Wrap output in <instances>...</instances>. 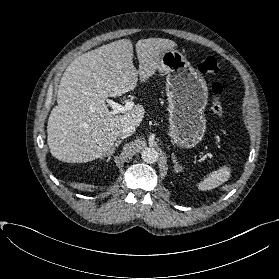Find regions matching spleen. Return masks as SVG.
Returning <instances> with one entry per match:
<instances>
[{"label":"spleen","mask_w":279,"mask_h":279,"mask_svg":"<svg viewBox=\"0 0 279 279\" xmlns=\"http://www.w3.org/2000/svg\"><path fill=\"white\" fill-rule=\"evenodd\" d=\"M230 177V169L223 167L211 173L204 181L199 184L201 190H211L226 182Z\"/></svg>","instance_id":"3e777b00"}]
</instances>
